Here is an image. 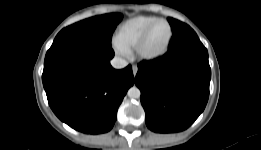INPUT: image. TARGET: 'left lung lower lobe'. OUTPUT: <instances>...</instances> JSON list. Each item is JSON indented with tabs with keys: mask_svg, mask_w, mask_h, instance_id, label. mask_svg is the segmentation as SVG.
I'll return each instance as SVG.
<instances>
[{
	"mask_svg": "<svg viewBox=\"0 0 261 150\" xmlns=\"http://www.w3.org/2000/svg\"><path fill=\"white\" fill-rule=\"evenodd\" d=\"M210 79L207 49L187 25L173 34L164 56L138 64L135 83L147 127L159 133L187 129L207 104Z\"/></svg>",
	"mask_w": 261,
	"mask_h": 150,
	"instance_id": "1",
	"label": "left lung lower lobe"
}]
</instances>
